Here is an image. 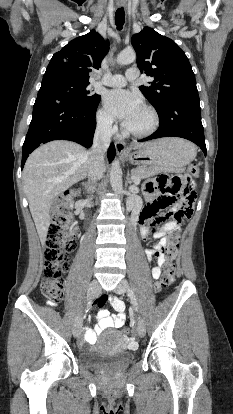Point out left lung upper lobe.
<instances>
[{
  "mask_svg": "<svg viewBox=\"0 0 233 414\" xmlns=\"http://www.w3.org/2000/svg\"><path fill=\"white\" fill-rule=\"evenodd\" d=\"M131 43L141 72L154 77L150 86H140L148 101L160 113L166 104L179 96L198 94L196 80L183 50L171 39L145 27L133 35Z\"/></svg>",
  "mask_w": 233,
  "mask_h": 414,
  "instance_id": "left-lung-upper-lobe-1",
  "label": "left lung upper lobe"
}]
</instances>
